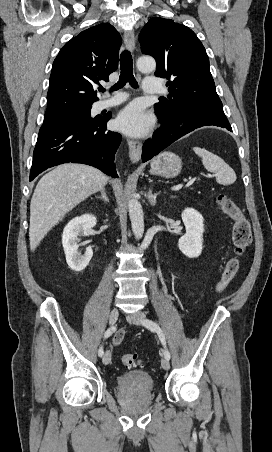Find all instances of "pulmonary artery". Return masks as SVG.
<instances>
[{
    "mask_svg": "<svg viewBox=\"0 0 272 452\" xmlns=\"http://www.w3.org/2000/svg\"><path fill=\"white\" fill-rule=\"evenodd\" d=\"M144 92L147 94H156L160 91V82L158 78L147 77L143 81ZM125 100L124 95H116L110 99L100 100L96 103L95 108L97 111L107 109L119 105Z\"/></svg>",
    "mask_w": 272,
    "mask_h": 452,
    "instance_id": "obj_1",
    "label": "pulmonary artery"
}]
</instances>
